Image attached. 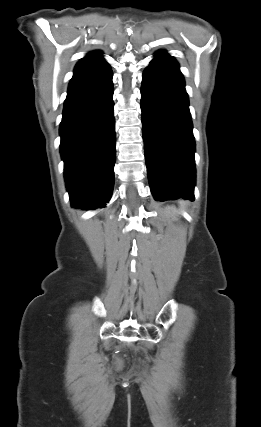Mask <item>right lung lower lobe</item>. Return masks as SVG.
Listing matches in <instances>:
<instances>
[{"label":"right lung lower lobe","instance_id":"right-lung-lower-lobe-1","mask_svg":"<svg viewBox=\"0 0 261 427\" xmlns=\"http://www.w3.org/2000/svg\"><path fill=\"white\" fill-rule=\"evenodd\" d=\"M109 65L70 81L60 152L74 207H104L114 187L115 119Z\"/></svg>","mask_w":261,"mask_h":427}]
</instances>
